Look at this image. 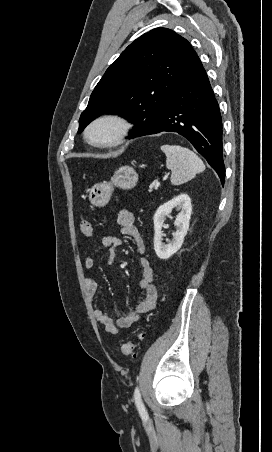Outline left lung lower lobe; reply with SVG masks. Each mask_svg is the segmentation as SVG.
Segmentation results:
<instances>
[{"instance_id":"0a47b994","label":"left lung lower lobe","mask_w":272,"mask_h":452,"mask_svg":"<svg viewBox=\"0 0 272 452\" xmlns=\"http://www.w3.org/2000/svg\"><path fill=\"white\" fill-rule=\"evenodd\" d=\"M161 131L177 132L187 138L224 184L222 118L207 74L197 55L175 86L158 122L147 128L134 130L128 138Z\"/></svg>"}]
</instances>
